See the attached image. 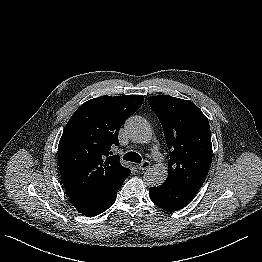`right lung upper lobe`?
I'll list each match as a JSON object with an SVG mask.
<instances>
[{"label": "right lung upper lobe", "mask_w": 262, "mask_h": 262, "mask_svg": "<svg viewBox=\"0 0 262 262\" xmlns=\"http://www.w3.org/2000/svg\"><path fill=\"white\" fill-rule=\"evenodd\" d=\"M142 95L102 96L83 103L58 145L59 170L70 199H100L119 190L131 170L110 156L118 131L142 105Z\"/></svg>", "instance_id": "right-lung-upper-lobe-1"}]
</instances>
